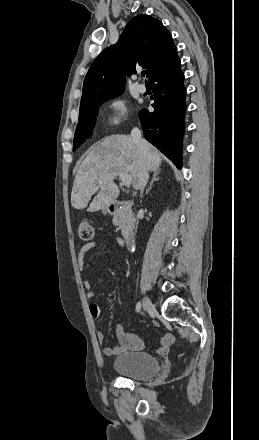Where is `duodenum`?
Returning <instances> with one entry per match:
<instances>
[{
    "label": "duodenum",
    "mask_w": 259,
    "mask_h": 440,
    "mask_svg": "<svg viewBox=\"0 0 259 440\" xmlns=\"http://www.w3.org/2000/svg\"><path fill=\"white\" fill-rule=\"evenodd\" d=\"M132 203L127 201L115 200L108 206V212L112 215H117L123 208L131 207ZM124 243L128 249H131L134 245V235L131 231H128L124 235Z\"/></svg>",
    "instance_id": "1"
}]
</instances>
